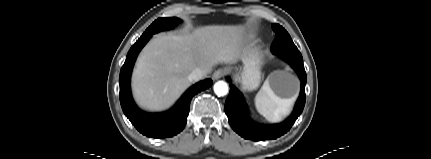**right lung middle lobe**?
Listing matches in <instances>:
<instances>
[{
	"mask_svg": "<svg viewBox=\"0 0 431 159\" xmlns=\"http://www.w3.org/2000/svg\"><path fill=\"white\" fill-rule=\"evenodd\" d=\"M180 22V20L176 17L172 18H159L155 20L143 33V35L146 34H154L156 32L162 31V30H168L171 29L173 26L177 25Z\"/></svg>",
	"mask_w": 431,
	"mask_h": 159,
	"instance_id": "right-lung-middle-lobe-1",
	"label": "right lung middle lobe"
}]
</instances>
